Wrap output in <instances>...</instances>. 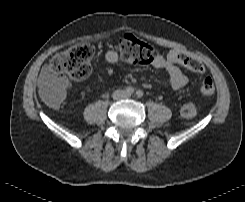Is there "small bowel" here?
<instances>
[{
  "label": "small bowel",
  "mask_w": 245,
  "mask_h": 202,
  "mask_svg": "<svg viewBox=\"0 0 245 202\" xmlns=\"http://www.w3.org/2000/svg\"><path fill=\"white\" fill-rule=\"evenodd\" d=\"M179 51L173 49L170 50L166 55L157 54L151 65L156 69L165 70L168 73L169 83L174 90H179L186 86L188 79L182 70L176 65V55ZM105 61L110 64H116L119 61V54L113 49L107 50L104 54ZM59 86L66 94L72 89V84L65 78L55 77L49 70L48 67H44L42 71V80L40 83V90L44 91L47 88Z\"/></svg>",
  "instance_id": "c3829d8e"
}]
</instances>
